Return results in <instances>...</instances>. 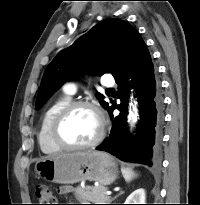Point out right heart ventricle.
I'll list each match as a JSON object with an SVG mask.
<instances>
[{
	"label": "right heart ventricle",
	"instance_id": "1",
	"mask_svg": "<svg viewBox=\"0 0 200 205\" xmlns=\"http://www.w3.org/2000/svg\"><path fill=\"white\" fill-rule=\"evenodd\" d=\"M70 101L71 99L69 95L60 96L55 99L44 111L38 132L39 146L44 153L53 154L61 150L54 144L51 138V127L56 115Z\"/></svg>",
	"mask_w": 200,
	"mask_h": 205
}]
</instances>
